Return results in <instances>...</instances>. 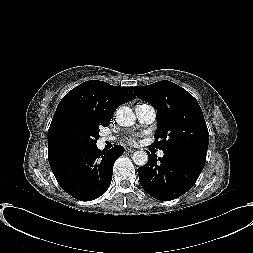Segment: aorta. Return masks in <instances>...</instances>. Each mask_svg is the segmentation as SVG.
<instances>
[{"label": "aorta", "mask_w": 253, "mask_h": 253, "mask_svg": "<svg viewBox=\"0 0 253 253\" xmlns=\"http://www.w3.org/2000/svg\"><path fill=\"white\" fill-rule=\"evenodd\" d=\"M116 120L120 126L129 127L136 121V116L131 108L121 106L116 111ZM134 163L138 166H143L148 162V154L145 151H136L132 157Z\"/></svg>", "instance_id": "obj_1"}]
</instances>
